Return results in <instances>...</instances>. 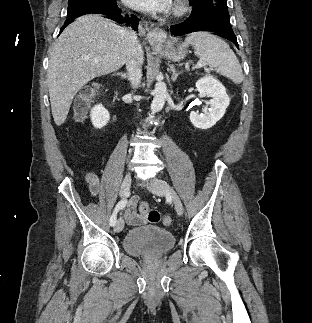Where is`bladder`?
<instances>
[{
	"mask_svg": "<svg viewBox=\"0 0 312 323\" xmlns=\"http://www.w3.org/2000/svg\"><path fill=\"white\" fill-rule=\"evenodd\" d=\"M174 237L168 231L158 227H140L130 229L124 238V251L133 257H148L150 254H162L174 245Z\"/></svg>",
	"mask_w": 312,
	"mask_h": 323,
	"instance_id": "obj_1",
	"label": "bladder"
}]
</instances>
